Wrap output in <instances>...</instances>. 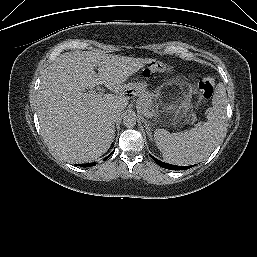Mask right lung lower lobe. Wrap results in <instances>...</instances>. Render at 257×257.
Masks as SVG:
<instances>
[{"mask_svg":"<svg viewBox=\"0 0 257 257\" xmlns=\"http://www.w3.org/2000/svg\"><path fill=\"white\" fill-rule=\"evenodd\" d=\"M112 154V153H111ZM110 154V155H111ZM109 155V156H110ZM109 156H107L104 160H106ZM96 165V163H88V164H81V165H79V166H95Z\"/></svg>","mask_w":257,"mask_h":257,"instance_id":"1","label":"right lung lower lobe"}]
</instances>
